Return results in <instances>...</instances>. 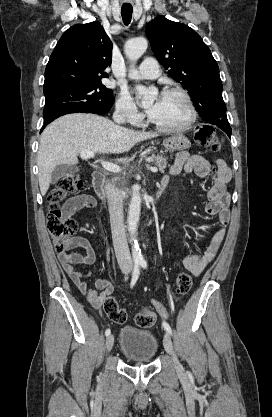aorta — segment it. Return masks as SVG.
Here are the masks:
<instances>
[{
  "label": "aorta",
  "mask_w": 272,
  "mask_h": 417,
  "mask_svg": "<svg viewBox=\"0 0 272 417\" xmlns=\"http://www.w3.org/2000/svg\"><path fill=\"white\" fill-rule=\"evenodd\" d=\"M148 47L147 40L145 38H135L126 42L125 54L133 62L137 61L146 51ZM136 90L142 95V104L147 105L153 102L158 90L155 87H145L143 85H137ZM141 210V196L139 187L134 186L132 189V197L129 205L128 212V231L130 234V241L132 243V256L134 261H141L142 254L136 241L137 226L140 219Z\"/></svg>",
  "instance_id": "aorta-1"
}]
</instances>
